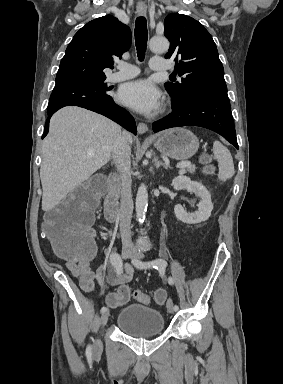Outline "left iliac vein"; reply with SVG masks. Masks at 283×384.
Instances as JSON below:
<instances>
[{
  "label": "left iliac vein",
  "instance_id": "left-iliac-vein-1",
  "mask_svg": "<svg viewBox=\"0 0 283 384\" xmlns=\"http://www.w3.org/2000/svg\"><path fill=\"white\" fill-rule=\"evenodd\" d=\"M143 254L142 253H140V252H137V251H133L132 253H131V260H132V263L137 267V263L139 262V261H141V259H143ZM167 308H168V311L170 312V313H174V307H173V302H172V300L171 299H169L168 300V302H167Z\"/></svg>",
  "mask_w": 283,
  "mask_h": 384
}]
</instances>
